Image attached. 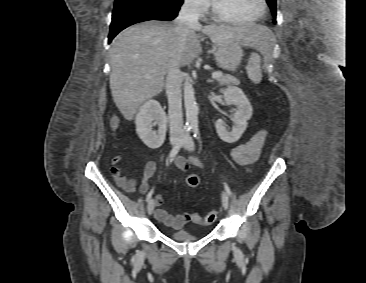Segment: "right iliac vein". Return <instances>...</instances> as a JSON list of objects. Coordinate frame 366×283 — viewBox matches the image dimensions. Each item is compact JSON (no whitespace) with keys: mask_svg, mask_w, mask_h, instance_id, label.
<instances>
[{"mask_svg":"<svg viewBox=\"0 0 366 283\" xmlns=\"http://www.w3.org/2000/svg\"><path fill=\"white\" fill-rule=\"evenodd\" d=\"M181 136L180 135H173L170 138V142L172 145H176L178 144V142L180 141ZM154 210V200L151 199L149 200L148 204H147V212L149 215H151L153 213Z\"/></svg>","mask_w":366,"mask_h":283,"instance_id":"right-iliac-vein-1","label":"right iliac vein"}]
</instances>
